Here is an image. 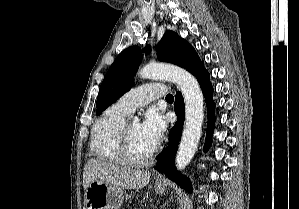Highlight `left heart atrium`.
Here are the masks:
<instances>
[{"mask_svg": "<svg viewBox=\"0 0 299 209\" xmlns=\"http://www.w3.org/2000/svg\"><path fill=\"white\" fill-rule=\"evenodd\" d=\"M166 129V122L156 110H149L140 125V131L145 140L155 148Z\"/></svg>", "mask_w": 299, "mask_h": 209, "instance_id": "left-heart-atrium-1", "label": "left heart atrium"}]
</instances>
